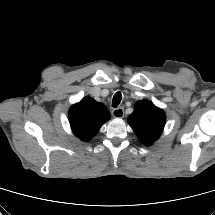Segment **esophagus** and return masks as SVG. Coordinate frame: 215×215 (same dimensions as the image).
Wrapping results in <instances>:
<instances>
[{"label":"esophagus","mask_w":215,"mask_h":215,"mask_svg":"<svg viewBox=\"0 0 215 215\" xmlns=\"http://www.w3.org/2000/svg\"><path fill=\"white\" fill-rule=\"evenodd\" d=\"M112 115L114 118H123L124 117V109L122 107H118L112 110Z\"/></svg>","instance_id":"esophagus-1"}]
</instances>
